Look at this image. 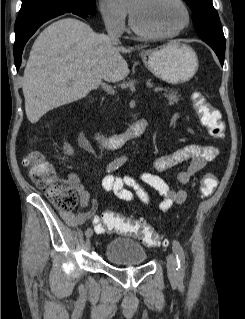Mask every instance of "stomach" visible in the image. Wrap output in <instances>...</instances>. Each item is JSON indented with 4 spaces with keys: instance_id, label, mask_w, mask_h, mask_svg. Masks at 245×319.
Masks as SVG:
<instances>
[{
    "instance_id": "1",
    "label": "stomach",
    "mask_w": 245,
    "mask_h": 319,
    "mask_svg": "<svg viewBox=\"0 0 245 319\" xmlns=\"http://www.w3.org/2000/svg\"><path fill=\"white\" fill-rule=\"evenodd\" d=\"M145 66L157 77L171 84L190 80L198 70L195 51L181 42H170L141 53Z\"/></svg>"
}]
</instances>
